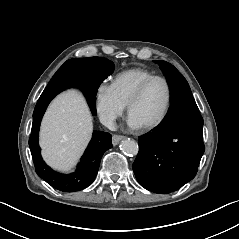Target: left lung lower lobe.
Returning <instances> with one entry per match:
<instances>
[{
  "label": "left lung lower lobe",
  "instance_id": "0a47b994",
  "mask_svg": "<svg viewBox=\"0 0 239 239\" xmlns=\"http://www.w3.org/2000/svg\"><path fill=\"white\" fill-rule=\"evenodd\" d=\"M204 150L203 118L192 94L183 95L158 127L139 137L133 171L142 187L167 194L195 177Z\"/></svg>",
  "mask_w": 239,
  "mask_h": 239
}]
</instances>
